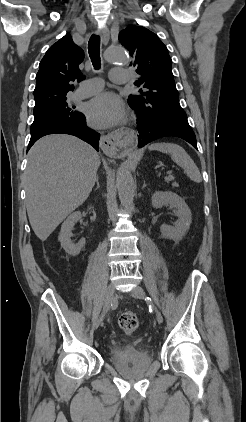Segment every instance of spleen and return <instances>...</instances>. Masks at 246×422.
Listing matches in <instances>:
<instances>
[{
    "label": "spleen",
    "mask_w": 246,
    "mask_h": 422,
    "mask_svg": "<svg viewBox=\"0 0 246 422\" xmlns=\"http://www.w3.org/2000/svg\"><path fill=\"white\" fill-rule=\"evenodd\" d=\"M148 149L169 154L171 159L182 167L187 176L194 182L200 183L202 177L200 171L188 153L179 145L174 143H153Z\"/></svg>",
    "instance_id": "obj_1"
}]
</instances>
